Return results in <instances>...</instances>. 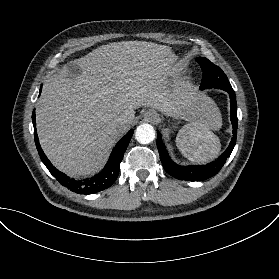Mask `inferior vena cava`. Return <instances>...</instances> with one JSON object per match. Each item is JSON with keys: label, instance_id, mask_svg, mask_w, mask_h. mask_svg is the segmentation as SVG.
<instances>
[{"label": "inferior vena cava", "instance_id": "1", "mask_svg": "<svg viewBox=\"0 0 279 279\" xmlns=\"http://www.w3.org/2000/svg\"><path fill=\"white\" fill-rule=\"evenodd\" d=\"M117 122H118V124L124 125V124L127 123V120H124V119H122V118H119Z\"/></svg>", "mask_w": 279, "mask_h": 279}]
</instances>
